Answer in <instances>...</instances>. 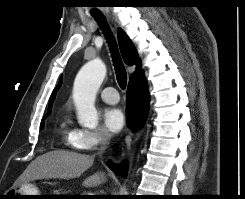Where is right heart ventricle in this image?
<instances>
[{"label":"right heart ventricle","mask_w":245,"mask_h":199,"mask_svg":"<svg viewBox=\"0 0 245 199\" xmlns=\"http://www.w3.org/2000/svg\"><path fill=\"white\" fill-rule=\"evenodd\" d=\"M59 126L67 144L76 150H80L76 145L77 129L73 126L72 121L68 115L62 117Z\"/></svg>","instance_id":"e07e8e85"}]
</instances>
